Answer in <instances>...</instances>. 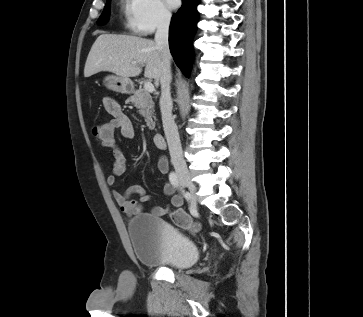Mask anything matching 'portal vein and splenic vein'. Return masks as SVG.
Wrapping results in <instances>:
<instances>
[{
	"mask_svg": "<svg viewBox=\"0 0 363 317\" xmlns=\"http://www.w3.org/2000/svg\"><path fill=\"white\" fill-rule=\"evenodd\" d=\"M133 64H135V63H133ZM144 89L149 93H152L155 90L154 85L151 82H145Z\"/></svg>",
	"mask_w": 363,
	"mask_h": 317,
	"instance_id": "obj_1",
	"label": "portal vein and splenic vein"
}]
</instances>
